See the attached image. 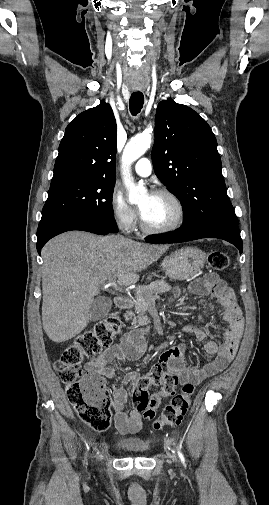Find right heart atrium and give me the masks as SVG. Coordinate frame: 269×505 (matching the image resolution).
<instances>
[{
	"mask_svg": "<svg viewBox=\"0 0 269 505\" xmlns=\"http://www.w3.org/2000/svg\"><path fill=\"white\" fill-rule=\"evenodd\" d=\"M110 209L113 219L120 228L126 231H130L134 228L137 222V213L127 203L122 192L118 189H114L111 194Z\"/></svg>",
	"mask_w": 269,
	"mask_h": 505,
	"instance_id": "d8ad5b80",
	"label": "right heart atrium"
}]
</instances>
